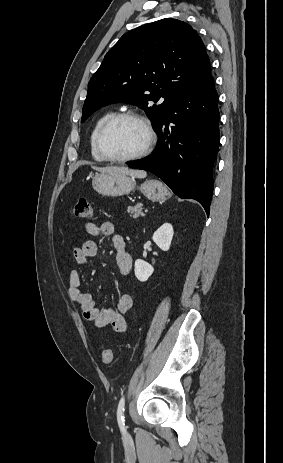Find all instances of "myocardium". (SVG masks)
Masks as SVG:
<instances>
[{
    "instance_id": "1",
    "label": "myocardium",
    "mask_w": 283,
    "mask_h": 463,
    "mask_svg": "<svg viewBox=\"0 0 283 463\" xmlns=\"http://www.w3.org/2000/svg\"><path fill=\"white\" fill-rule=\"evenodd\" d=\"M124 119L136 120L143 126L145 133H146V137H147L146 143L139 152L131 156H126V157L111 156L107 154V152L105 151L103 147L104 134L110 126ZM155 142H156V134L151 125V122L146 116L142 115L141 113L135 112V111H124V112H120V113H116L112 115L101 125L96 135V148L99 154L102 156L104 160L110 161V162H116V163L132 162V161H136V160L146 157L152 151L155 145Z\"/></svg>"
}]
</instances>
